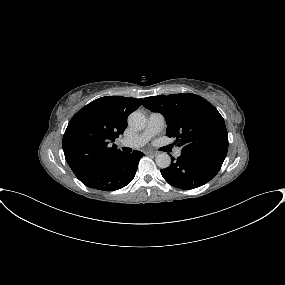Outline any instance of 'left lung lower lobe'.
I'll return each instance as SVG.
<instances>
[{
  "label": "left lung lower lobe",
  "instance_id": "0a47b994",
  "mask_svg": "<svg viewBox=\"0 0 285 285\" xmlns=\"http://www.w3.org/2000/svg\"><path fill=\"white\" fill-rule=\"evenodd\" d=\"M224 159L202 154L181 155L172 158L171 165L162 169L163 178L180 189H193L204 185L219 172Z\"/></svg>",
  "mask_w": 285,
  "mask_h": 285
}]
</instances>
